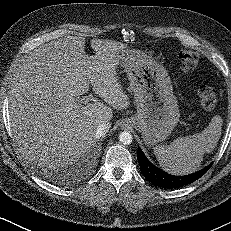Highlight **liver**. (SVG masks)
Returning a JSON list of instances; mask_svg holds the SVG:
<instances>
[{
    "mask_svg": "<svg viewBox=\"0 0 231 231\" xmlns=\"http://www.w3.org/2000/svg\"><path fill=\"white\" fill-rule=\"evenodd\" d=\"M126 47L93 38L95 55L88 56L84 37L66 36L25 56L11 81L9 114L14 139L28 162L48 168L73 164L96 142L97 127L110 123L112 108L129 107L116 76ZM90 84L109 106L76 103Z\"/></svg>",
    "mask_w": 231,
    "mask_h": 231,
    "instance_id": "6515ba94",
    "label": "liver"
}]
</instances>
